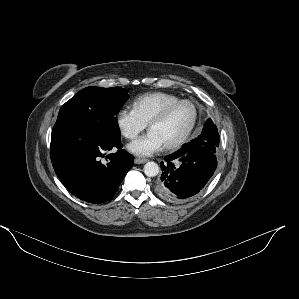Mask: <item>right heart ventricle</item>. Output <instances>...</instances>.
Instances as JSON below:
<instances>
[{"mask_svg": "<svg viewBox=\"0 0 299 299\" xmlns=\"http://www.w3.org/2000/svg\"><path fill=\"white\" fill-rule=\"evenodd\" d=\"M180 100L174 94L165 92H151L137 96L132 102V109L148 124L166 105Z\"/></svg>", "mask_w": 299, "mask_h": 299, "instance_id": "e07e8e85", "label": "right heart ventricle"}]
</instances>
